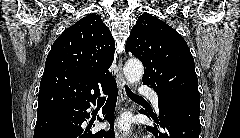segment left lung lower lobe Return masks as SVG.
Listing matches in <instances>:
<instances>
[{
  "label": "left lung lower lobe",
  "instance_id": "0a47b994",
  "mask_svg": "<svg viewBox=\"0 0 240 138\" xmlns=\"http://www.w3.org/2000/svg\"><path fill=\"white\" fill-rule=\"evenodd\" d=\"M160 117L151 116L162 128L160 132L156 127L147 126L155 138H199L201 126L200 97L196 95H179L170 98L158 99ZM141 113L148 116L147 112Z\"/></svg>",
  "mask_w": 240,
  "mask_h": 138
}]
</instances>
